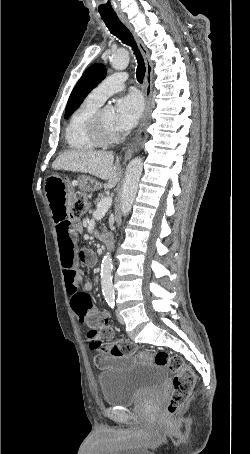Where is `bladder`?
Masks as SVG:
<instances>
[{"instance_id":"bladder-1","label":"bladder","mask_w":250,"mask_h":454,"mask_svg":"<svg viewBox=\"0 0 250 454\" xmlns=\"http://www.w3.org/2000/svg\"><path fill=\"white\" fill-rule=\"evenodd\" d=\"M123 359L127 364L98 375L103 401L107 405L126 407L135 404L159 390L165 381L166 373L160 365L136 362L129 356H123Z\"/></svg>"}]
</instances>
